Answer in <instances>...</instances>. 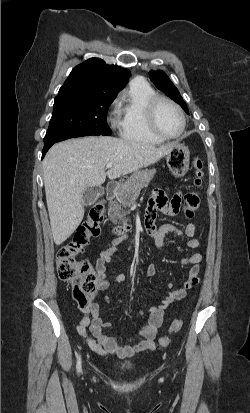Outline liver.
I'll return each instance as SVG.
<instances>
[{"mask_svg":"<svg viewBox=\"0 0 250 413\" xmlns=\"http://www.w3.org/2000/svg\"><path fill=\"white\" fill-rule=\"evenodd\" d=\"M174 144L156 147L110 136H89L60 142L43 160V179L51 231L61 245L84 217L83 192L149 166L172 150ZM113 166L106 172V164Z\"/></svg>","mask_w":250,"mask_h":413,"instance_id":"liver-1","label":"liver"}]
</instances>
